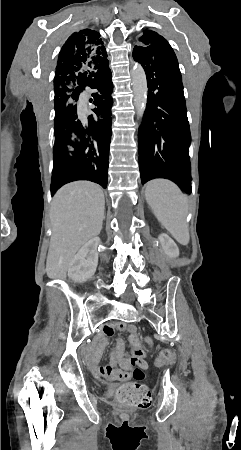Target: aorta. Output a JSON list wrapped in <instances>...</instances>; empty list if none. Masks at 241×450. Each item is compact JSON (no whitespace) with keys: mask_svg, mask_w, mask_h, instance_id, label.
I'll return each instance as SVG.
<instances>
[{"mask_svg":"<svg viewBox=\"0 0 241 450\" xmlns=\"http://www.w3.org/2000/svg\"><path fill=\"white\" fill-rule=\"evenodd\" d=\"M131 78L136 113L142 118L146 110L148 87L145 71L140 64L135 63L133 66Z\"/></svg>","mask_w":241,"mask_h":450,"instance_id":"762f6f07","label":"aorta"}]
</instances>
